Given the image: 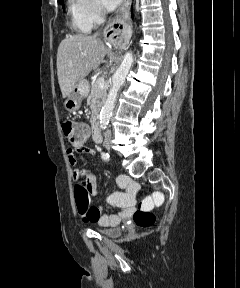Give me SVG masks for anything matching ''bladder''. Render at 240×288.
Wrapping results in <instances>:
<instances>
[{
    "mask_svg": "<svg viewBox=\"0 0 240 288\" xmlns=\"http://www.w3.org/2000/svg\"><path fill=\"white\" fill-rule=\"evenodd\" d=\"M95 231H97L98 233H100L102 235L112 237V238H115V237L119 236V234H120V229L117 227L97 226V227H95Z\"/></svg>",
    "mask_w": 240,
    "mask_h": 288,
    "instance_id": "obj_1",
    "label": "bladder"
}]
</instances>
